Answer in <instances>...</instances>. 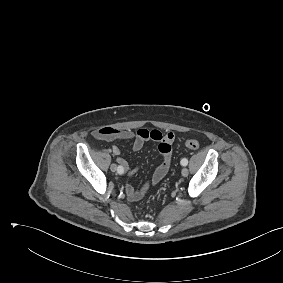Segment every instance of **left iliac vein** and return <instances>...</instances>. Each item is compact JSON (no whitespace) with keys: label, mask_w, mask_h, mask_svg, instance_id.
Listing matches in <instances>:
<instances>
[{"label":"left iliac vein","mask_w":283,"mask_h":283,"mask_svg":"<svg viewBox=\"0 0 283 283\" xmlns=\"http://www.w3.org/2000/svg\"><path fill=\"white\" fill-rule=\"evenodd\" d=\"M188 173H189V171H188L187 168H183L182 171H181V174H182V176H184V177L188 176Z\"/></svg>","instance_id":"obj_1"}]
</instances>
